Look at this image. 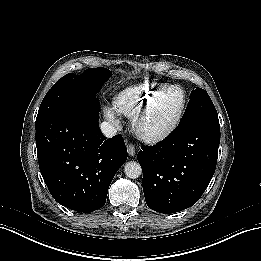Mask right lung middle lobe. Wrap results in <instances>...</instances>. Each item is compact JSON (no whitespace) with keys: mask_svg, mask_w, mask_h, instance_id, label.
I'll list each match as a JSON object with an SVG mask.
<instances>
[{"mask_svg":"<svg viewBox=\"0 0 261 261\" xmlns=\"http://www.w3.org/2000/svg\"><path fill=\"white\" fill-rule=\"evenodd\" d=\"M107 77V71L86 70L79 76L67 74L62 77L45 95L36 118V124L63 107L83 102L99 107L93 99Z\"/></svg>","mask_w":261,"mask_h":261,"instance_id":"dd1d6c3e","label":"right lung middle lobe"}]
</instances>
